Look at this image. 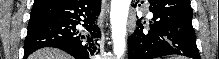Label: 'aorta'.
<instances>
[{
  "label": "aorta",
  "instance_id": "aorta-1",
  "mask_svg": "<svg viewBox=\"0 0 219 59\" xmlns=\"http://www.w3.org/2000/svg\"><path fill=\"white\" fill-rule=\"evenodd\" d=\"M131 0H112L110 23L113 52L120 59L126 49L127 19Z\"/></svg>",
  "mask_w": 219,
  "mask_h": 59
}]
</instances>
